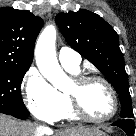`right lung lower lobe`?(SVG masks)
I'll return each mask as SVG.
<instances>
[{
  "label": "right lung lower lobe",
  "mask_w": 136,
  "mask_h": 136,
  "mask_svg": "<svg viewBox=\"0 0 136 136\" xmlns=\"http://www.w3.org/2000/svg\"><path fill=\"white\" fill-rule=\"evenodd\" d=\"M4 114L12 115L18 119H27V116H28V115H22V114H18V113H4Z\"/></svg>",
  "instance_id": "right-lung-lower-lobe-1"
}]
</instances>
